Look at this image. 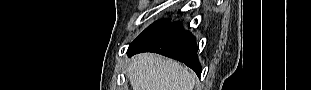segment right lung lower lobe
<instances>
[{
  "mask_svg": "<svg viewBox=\"0 0 311 90\" xmlns=\"http://www.w3.org/2000/svg\"><path fill=\"white\" fill-rule=\"evenodd\" d=\"M195 37L185 31L180 22L166 24L147 35L142 40L132 43L128 55L140 52H155L185 63L198 76L202 69L197 57Z\"/></svg>",
  "mask_w": 311,
  "mask_h": 90,
  "instance_id": "obj_1",
  "label": "right lung lower lobe"
}]
</instances>
